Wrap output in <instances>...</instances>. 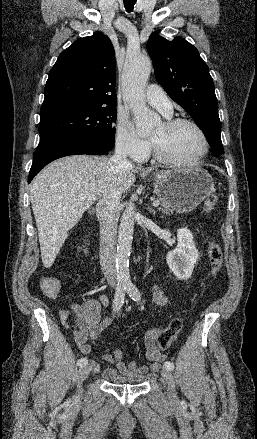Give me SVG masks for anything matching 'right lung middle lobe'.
Returning a JSON list of instances; mask_svg holds the SVG:
<instances>
[{
    "label": "right lung middle lobe",
    "mask_w": 257,
    "mask_h": 439,
    "mask_svg": "<svg viewBox=\"0 0 257 439\" xmlns=\"http://www.w3.org/2000/svg\"><path fill=\"white\" fill-rule=\"evenodd\" d=\"M116 106H94L70 110L40 119V141L73 134L115 143Z\"/></svg>",
    "instance_id": "dd1d6c3e"
}]
</instances>
